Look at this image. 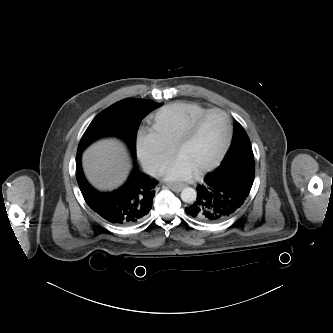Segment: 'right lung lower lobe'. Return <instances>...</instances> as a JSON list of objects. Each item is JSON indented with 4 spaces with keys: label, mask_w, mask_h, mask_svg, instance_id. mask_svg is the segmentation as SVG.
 Segmentation results:
<instances>
[{
    "label": "right lung lower lobe",
    "mask_w": 333,
    "mask_h": 333,
    "mask_svg": "<svg viewBox=\"0 0 333 333\" xmlns=\"http://www.w3.org/2000/svg\"><path fill=\"white\" fill-rule=\"evenodd\" d=\"M81 153L76 156V178L88 206L112 224L134 225L145 218L152 208L154 188L158 182L139 171L136 162L127 182L113 192H99L85 179Z\"/></svg>",
    "instance_id": "98d812e1"
}]
</instances>
